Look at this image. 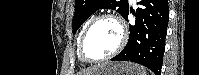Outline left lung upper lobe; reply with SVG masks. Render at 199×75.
Returning a JSON list of instances; mask_svg holds the SVG:
<instances>
[{
  "instance_id": "1",
  "label": "left lung upper lobe",
  "mask_w": 199,
  "mask_h": 75,
  "mask_svg": "<svg viewBox=\"0 0 199 75\" xmlns=\"http://www.w3.org/2000/svg\"><path fill=\"white\" fill-rule=\"evenodd\" d=\"M100 8L117 9L123 17L129 9L127 0H75V14L72 20L73 34L84 21Z\"/></svg>"
}]
</instances>
